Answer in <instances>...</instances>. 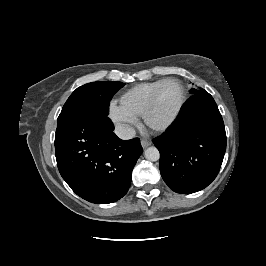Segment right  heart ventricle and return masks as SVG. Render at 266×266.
I'll return each instance as SVG.
<instances>
[{"instance_id": "e07e8e85", "label": "right heart ventricle", "mask_w": 266, "mask_h": 266, "mask_svg": "<svg viewBox=\"0 0 266 266\" xmlns=\"http://www.w3.org/2000/svg\"><path fill=\"white\" fill-rule=\"evenodd\" d=\"M164 80L145 82L130 88L122 95L121 104L134 115L142 116L153 92Z\"/></svg>"}]
</instances>
